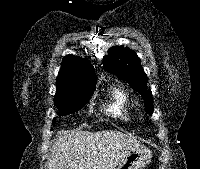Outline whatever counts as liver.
Returning a JSON list of instances; mask_svg holds the SVG:
<instances>
[{"label": "liver", "instance_id": "6515ba94", "mask_svg": "<svg viewBox=\"0 0 200 169\" xmlns=\"http://www.w3.org/2000/svg\"><path fill=\"white\" fill-rule=\"evenodd\" d=\"M138 147L135 138L118 131H72L52 146L49 169H115L129 150Z\"/></svg>", "mask_w": 200, "mask_h": 169}]
</instances>
